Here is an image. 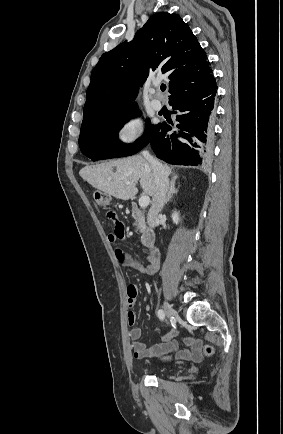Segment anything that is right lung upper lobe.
I'll return each instance as SVG.
<instances>
[{"mask_svg": "<svg viewBox=\"0 0 283 434\" xmlns=\"http://www.w3.org/2000/svg\"><path fill=\"white\" fill-rule=\"evenodd\" d=\"M153 73L169 79V101L213 79L206 52L180 16H151L133 41L104 53L91 73L81 129L137 108L138 86Z\"/></svg>", "mask_w": 283, "mask_h": 434, "instance_id": "right-lung-upper-lobe-1", "label": "right lung upper lobe"}]
</instances>
